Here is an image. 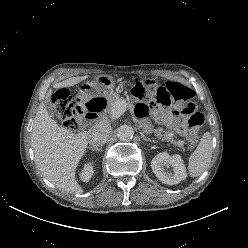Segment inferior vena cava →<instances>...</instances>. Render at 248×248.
<instances>
[{
  "label": "inferior vena cava",
  "instance_id": "1",
  "mask_svg": "<svg viewBox=\"0 0 248 248\" xmlns=\"http://www.w3.org/2000/svg\"><path fill=\"white\" fill-rule=\"evenodd\" d=\"M111 126L107 122L94 125L88 132V143L93 147L102 146L108 140Z\"/></svg>",
  "mask_w": 248,
  "mask_h": 248
}]
</instances>
